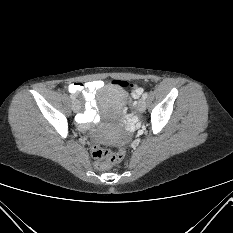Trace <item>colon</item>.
Returning a JSON list of instances; mask_svg holds the SVG:
<instances>
[{"label":"colon","instance_id":"5ec220e1","mask_svg":"<svg viewBox=\"0 0 233 233\" xmlns=\"http://www.w3.org/2000/svg\"><path fill=\"white\" fill-rule=\"evenodd\" d=\"M119 85L127 86L124 81H117ZM91 154L95 160L98 161L100 168H106L107 163H117L123 160L126 151L123 147L119 148L116 152L103 149L97 142H94L91 147Z\"/></svg>","mask_w":233,"mask_h":233}]
</instances>
